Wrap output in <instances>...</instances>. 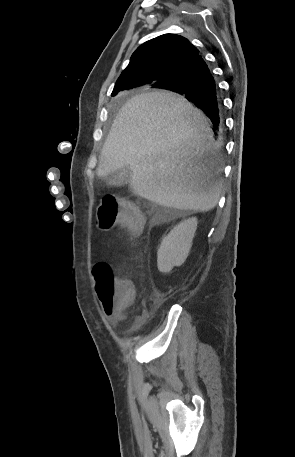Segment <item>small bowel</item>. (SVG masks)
Returning <instances> with one entry per match:
<instances>
[{
	"instance_id": "obj_1",
	"label": "small bowel",
	"mask_w": 295,
	"mask_h": 457,
	"mask_svg": "<svg viewBox=\"0 0 295 457\" xmlns=\"http://www.w3.org/2000/svg\"><path fill=\"white\" fill-rule=\"evenodd\" d=\"M113 322H114V323L117 322V317H116V316H113Z\"/></svg>"
}]
</instances>
